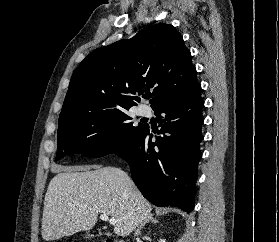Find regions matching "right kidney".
<instances>
[{"label": "right kidney", "instance_id": "ca27d5eb", "mask_svg": "<svg viewBox=\"0 0 279 242\" xmlns=\"http://www.w3.org/2000/svg\"><path fill=\"white\" fill-rule=\"evenodd\" d=\"M159 242H165V240L161 239Z\"/></svg>", "mask_w": 279, "mask_h": 242}]
</instances>
